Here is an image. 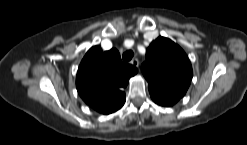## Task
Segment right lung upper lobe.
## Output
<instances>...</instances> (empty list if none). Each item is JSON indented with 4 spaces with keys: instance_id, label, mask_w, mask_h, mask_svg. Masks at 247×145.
<instances>
[{
    "instance_id": "right-lung-upper-lobe-1",
    "label": "right lung upper lobe",
    "mask_w": 247,
    "mask_h": 145,
    "mask_svg": "<svg viewBox=\"0 0 247 145\" xmlns=\"http://www.w3.org/2000/svg\"><path fill=\"white\" fill-rule=\"evenodd\" d=\"M138 69L121 61L116 49L102 52L94 46L86 53L78 68L76 87L81 98L93 109L110 114L125 103L123 89Z\"/></svg>"
}]
</instances>
